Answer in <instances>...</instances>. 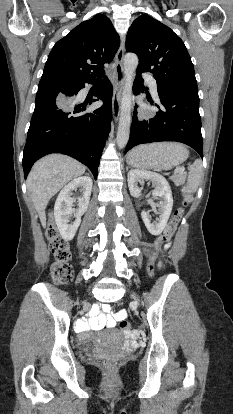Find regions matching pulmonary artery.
Instances as JSON below:
<instances>
[{
    "instance_id": "obj_1",
    "label": "pulmonary artery",
    "mask_w": 233,
    "mask_h": 414,
    "mask_svg": "<svg viewBox=\"0 0 233 414\" xmlns=\"http://www.w3.org/2000/svg\"><path fill=\"white\" fill-rule=\"evenodd\" d=\"M144 77L150 86L151 92L156 96L157 95V84H156L155 79L149 74H144Z\"/></svg>"
}]
</instances>
